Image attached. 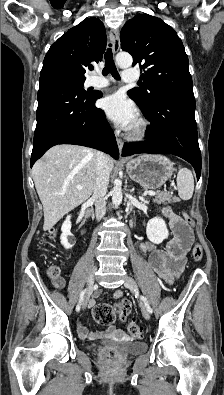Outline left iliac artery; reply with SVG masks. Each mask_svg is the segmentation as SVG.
I'll return each instance as SVG.
<instances>
[{"label":"left iliac artery","instance_id":"obj_1","mask_svg":"<svg viewBox=\"0 0 224 395\" xmlns=\"http://www.w3.org/2000/svg\"><path fill=\"white\" fill-rule=\"evenodd\" d=\"M141 300L144 302V304L147 306V308H148V311L150 312V313H152L153 312V310H152V308L150 307V305H149V303H148V301H147V299H146V297H144V296H141Z\"/></svg>","mask_w":224,"mask_h":395}]
</instances>
